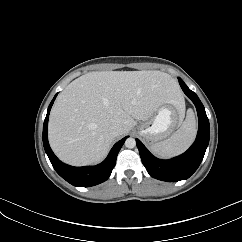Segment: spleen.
Segmentation results:
<instances>
[{
  "instance_id": "spleen-1",
  "label": "spleen",
  "mask_w": 242,
  "mask_h": 242,
  "mask_svg": "<svg viewBox=\"0 0 242 242\" xmlns=\"http://www.w3.org/2000/svg\"><path fill=\"white\" fill-rule=\"evenodd\" d=\"M197 132L193 113H188L180 128L168 139L151 145V149L162 157H172L184 152L195 139Z\"/></svg>"
}]
</instances>
